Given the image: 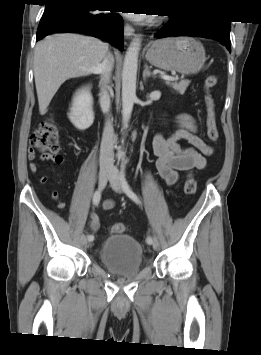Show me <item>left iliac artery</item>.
<instances>
[{"label": "left iliac artery", "mask_w": 261, "mask_h": 355, "mask_svg": "<svg viewBox=\"0 0 261 355\" xmlns=\"http://www.w3.org/2000/svg\"><path fill=\"white\" fill-rule=\"evenodd\" d=\"M125 164H126V161L123 160V163L121 165V173H120L122 188L130 199H132L134 202L140 204V200H139L138 196L132 191V189L130 188V186L128 185V183L125 179V167H126ZM153 240L154 239L152 237L148 236L146 239V242L150 245L153 243Z\"/></svg>", "instance_id": "obj_1"}]
</instances>
